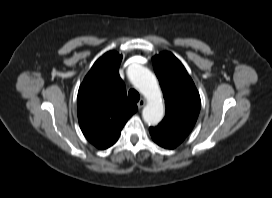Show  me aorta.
Returning <instances> with one entry per match:
<instances>
[{
	"mask_svg": "<svg viewBox=\"0 0 272 198\" xmlns=\"http://www.w3.org/2000/svg\"><path fill=\"white\" fill-rule=\"evenodd\" d=\"M129 78L148 101L142 111L143 120L148 125H157L164 117V105L155 75L146 67L134 65L129 70Z\"/></svg>",
	"mask_w": 272,
	"mask_h": 198,
	"instance_id": "aorta-1",
	"label": "aorta"
}]
</instances>
